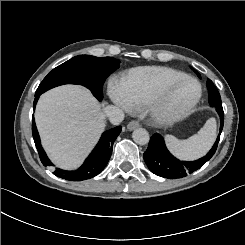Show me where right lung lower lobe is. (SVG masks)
I'll use <instances>...</instances> for the list:
<instances>
[{
	"instance_id": "right-lung-lower-lobe-1",
	"label": "right lung lower lobe",
	"mask_w": 245,
	"mask_h": 245,
	"mask_svg": "<svg viewBox=\"0 0 245 245\" xmlns=\"http://www.w3.org/2000/svg\"><path fill=\"white\" fill-rule=\"evenodd\" d=\"M38 98L39 95L35 94L33 108H35ZM120 131L121 127L118 126L103 133L95 149L92 151L89 157L85 160L84 164L78 170L65 171L56 168L53 174L69 181H82L93 178L94 176L99 174L108 163L112 154L113 143L120 134ZM32 134L42 164L44 166H53V164L48 159L46 153L44 152L41 146L40 137L34 121V115L32 118Z\"/></svg>"
}]
</instances>
